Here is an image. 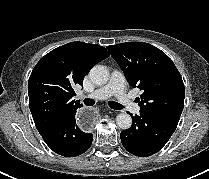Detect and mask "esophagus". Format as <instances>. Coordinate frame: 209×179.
Returning a JSON list of instances; mask_svg holds the SVG:
<instances>
[{
    "mask_svg": "<svg viewBox=\"0 0 209 179\" xmlns=\"http://www.w3.org/2000/svg\"><path fill=\"white\" fill-rule=\"evenodd\" d=\"M96 118L97 113L93 108L79 109L74 114L76 124L84 130L91 129Z\"/></svg>",
    "mask_w": 209,
    "mask_h": 179,
    "instance_id": "obj_1",
    "label": "esophagus"
}]
</instances>
